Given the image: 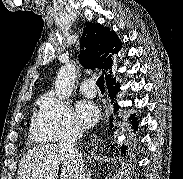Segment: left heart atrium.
I'll use <instances>...</instances> for the list:
<instances>
[{"label": "left heart atrium", "mask_w": 183, "mask_h": 179, "mask_svg": "<svg viewBox=\"0 0 183 179\" xmlns=\"http://www.w3.org/2000/svg\"><path fill=\"white\" fill-rule=\"evenodd\" d=\"M77 113L86 127H92L99 119V109L91 101L82 100L77 105Z\"/></svg>", "instance_id": "1"}]
</instances>
